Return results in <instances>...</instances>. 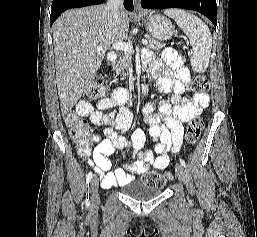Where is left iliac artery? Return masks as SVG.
Returning <instances> with one entry per match:
<instances>
[{
  "mask_svg": "<svg viewBox=\"0 0 257 237\" xmlns=\"http://www.w3.org/2000/svg\"><path fill=\"white\" fill-rule=\"evenodd\" d=\"M179 162L183 167H186V163L182 158H179Z\"/></svg>",
  "mask_w": 257,
  "mask_h": 237,
  "instance_id": "obj_1",
  "label": "left iliac artery"
}]
</instances>
